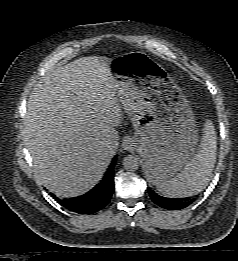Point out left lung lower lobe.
Returning <instances> with one entry per match:
<instances>
[{
    "mask_svg": "<svg viewBox=\"0 0 238 261\" xmlns=\"http://www.w3.org/2000/svg\"><path fill=\"white\" fill-rule=\"evenodd\" d=\"M148 193L154 203L168 210H180L186 208L188 205H190L193 202V200L190 198L172 199V198L162 197L157 193H155L150 188H148Z\"/></svg>",
    "mask_w": 238,
    "mask_h": 261,
    "instance_id": "obj_1",
    "label": "left lung lower lobe"
}]
</instances>
